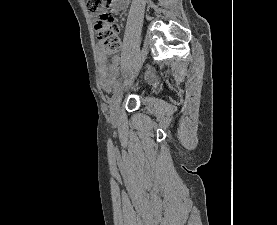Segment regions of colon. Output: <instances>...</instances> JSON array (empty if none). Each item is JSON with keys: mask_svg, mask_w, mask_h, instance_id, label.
<instances>
[{"mask_svg": "<svg viewBox=\"0 0 277 225\" xmlns=\"http://www.w3.org/2000/svg\"><path fill=\"white\" fill-rule=\"evenodd\" d=\"M116 2L117 0H85L86 6L100 15L95 31L106 54H114L121 47L119 25L113 14V3Z\"/></svg>", "mask_w": 277, "mask_h": 225, "instance_id": "5ec220e1", "label": "colon"}]
</instances>
